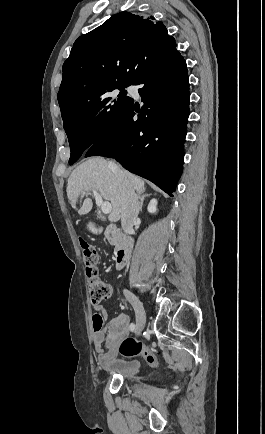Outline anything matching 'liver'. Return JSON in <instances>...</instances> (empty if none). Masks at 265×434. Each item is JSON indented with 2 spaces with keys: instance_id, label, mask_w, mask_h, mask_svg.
<instances>
[{
  "instance_id": "6515ba94",
  "label": "liver",
  "mask_w": 265,
  "mask_h": 434,
  "mask_svg": "<svg viewBox=\"0 0 265 434\" xmlns=\"http://www.w3.org/2000/svg\"><path fill=\"white\" fill-rule=\"evenodd\" d=\"M111 162H107L104 158H88L86 162L77 166L70 174L67 182L68 200L76 210L77 198L85 192H100L104 200H108L112 204V212L108 216L109 222H118L121 218L123 194L119 190V182L116 178V170L110 166ZM113 164V162H112ZM128 178L134 192L143 194L145 192V182L129 174L126 170H121ZM92 200L86 198L82 208L78 210L80 216L88 214L92 210Z\"/></svg>"
}]
</instances>
